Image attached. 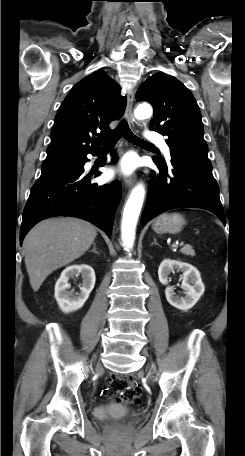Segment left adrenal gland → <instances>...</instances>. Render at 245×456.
Listing matches in <instances>:
<instances>
[{"instance_id":"left-adrenal-gland-1","label":"left adrenal gland","mask_w":245,"mask_h":456,"mask_svg":"<svg viewBox=\"0 0 245 456\" xmlns=\"http://www.w3.org/2000/svg\"><path fill=\"white\" fill-rule=\"evenodd\" d=\"M151 245H158L159 246V244L157 243L156 238H154V241H153V243H151Z\"/></svg>"}]
</instances>
